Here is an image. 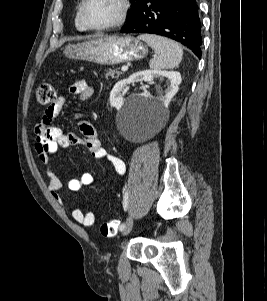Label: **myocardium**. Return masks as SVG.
Here are the masks:
<instances>
[{
	"mask_svg": "<svg viewBox=\"0 0 267 301\" xmlns=\"http://www.w3.org/2000/svg\"><path fill=\"white\" fill-rule=\"evenodd\" d=\"M87 2L88 0H81L79 6L80 21L85 29L92 30V31H106V30H112L114 28L119 27L125 22L130 7L129 0H119L120 9L117 17L110 23L95 26V25H91L86 19L85 8Z\"/></svg>",
	"mask_w": 267,
	"mask_h": 301,
	"instance_id": "obj_1",
	"label": "myocardium"
}]
</instances>
